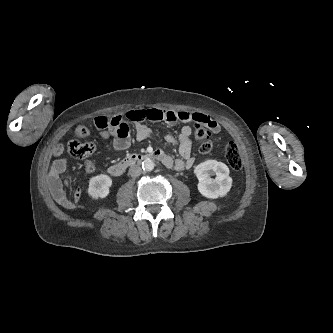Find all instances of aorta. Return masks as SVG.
Segmentation results:
<instances>
[{
  "label": "aorta",
  "mask_w": 333,
  "mask_h": 333,
  "mask_svg": "<svg viewBox=\"0 0 333 333\" xmlns=\"http://www.w3.org/2000/svg\"><path fill=\"white\" fill-rule=\"evenodd\" d=\"M154 162L151 160V159H145L143 162H142V168L144 171H152L154 169Z\"/></svg>",
  "instance_id": "obj_1"
}]
</instances>
